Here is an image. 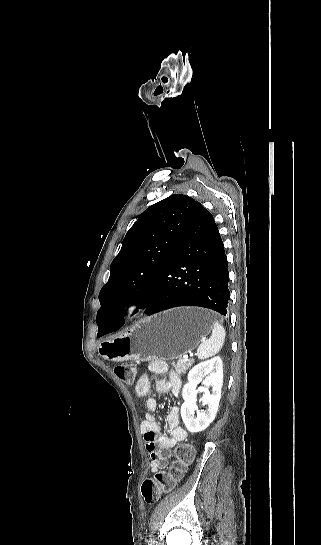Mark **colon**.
<instances>
[{
    "label": "colon",
    "instance_id": "5ec220e1",
    "mask_svg": "<svg viewBox=\"0 0 321 545\" xmlns=\"http://www.w3.org/2000/svg\"><path fill=\"white\" fill-rule=\"evenodd\" d=\"M115 375L126 384H132L135 368L131 364H120L114 367ZM194 449L188 443L179 444L173 453V462L165 471L155 473L141 484V494L148 504L156 503L162 495L172 490L182 478L187 465L192 461Z\"/></svg>",
    "mask_w": 321,
    "mask_h": 545
}]
</instances>
